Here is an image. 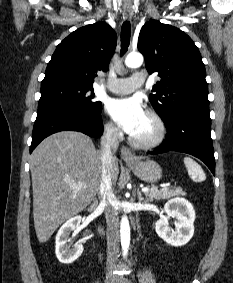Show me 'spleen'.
Masks as SVG:
<instances>
[{
    "instance_id": "spleen-1",
    "label": "spleen",
    "mask_w": 233,
    "mask_h": 283,
    "mask_svg": "<svg viewBox=\"0 0 233 283\" xmlns=\"http://www.w3.org/2000/svg\"><path fill=\"white\" fill-rule=\"evenodd\" d=\"M183 161L187 168L188 175L194 182H202L206 179V175L201 166L192 158L185 157Z\"/></svg>"
}]
</instances>
